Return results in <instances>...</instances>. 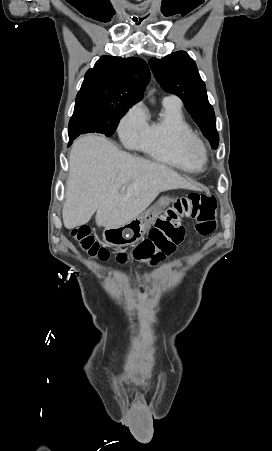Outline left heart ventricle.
<instances>
[{
  "label": "left heart ventricle",
  "mask_w": 272,
  "mask_h": 451,
  "mask_svg": "<svg viewBox=\"0 0 272 451\" xmlns=\"http://www.w3.org/2000/svg\"><path fill=\"white\" fill-rule=\"evenodd\" d=\"M199 162H200V157L197 158V163H199Z\"/></svg>",
  "instance_id": "b2bd125f"
}]
</instances>
